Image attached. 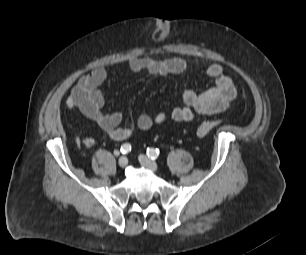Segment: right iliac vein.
Wrapping results in <instances>:
<instances>
[{"label": "right iliac vein", "instance_id": "63e3f726", "mask_svg": "<svg viewBox=\"0 0 306 255\" xmlns=\"http://www.w3.org/2000/svg\"><path fill=\"white\" fill-rule=\"evenodd\" d=\"M118 164L121 168H125L128 164V159L126 157H121L118 160Z\"/></svg>", "mask_w": 306, "mask_h": 255}]
</instances>
